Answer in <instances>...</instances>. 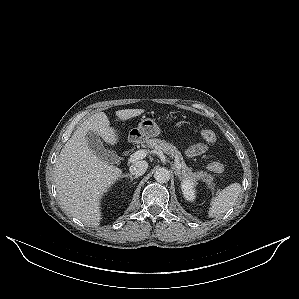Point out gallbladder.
I'll return each mask as SVG.
<instances>
[{
    "instance_id": "bac80fb5",
    "label": "gallbladder",
    "mask_w": 299,
    "mask_h": 299,
    "mask_svg": "<svg viewBox=\"0 0 299 299\" xmlns=\"http://www.w3.org/2000/svg\"><path fill=\"white\" fill-rule=\"evenodd\" d=\"M86 140L90 150L93 151L96 155H98L101 159L110 163L116 161L117 159L116 154L110 150H107L104 147L99 135L96 132L88 131L86 133Z\"/></svg>"
}]
</instances>
